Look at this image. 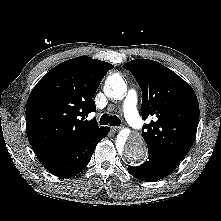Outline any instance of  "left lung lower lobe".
<instances>
[{"instance_id":"left-lung-lower-lobe-1","label":"left lung lower lobe","mask_w":221,"mask_h":221,"mask_svg":"<svg viewBox=\"0 0 221 221\" xmlns=\"http://www.w3.org/2000/svg\"><path fill=\"white\" fill-rule=\"evenodd\" d=\"M148 151V160L142 165L128 167V172L139 180L146 182L157 181L166 177L180 164L181 160L170 156L167 153L154 148H148Z\"/></svg>"}]
</instances>
